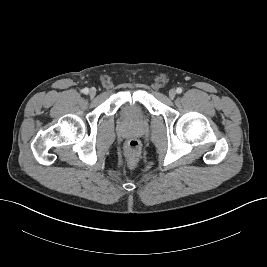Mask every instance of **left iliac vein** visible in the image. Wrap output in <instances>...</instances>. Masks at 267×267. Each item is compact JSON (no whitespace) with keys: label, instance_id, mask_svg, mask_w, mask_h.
Instances as JSON below:
<instances>
[{"label":"left iliac vein","instance_id":"4c4485c4","mask_svg":"<svg viewBox=\"0 0 267 267\" xmlns=\"http://www.w3.org/2000/svg\"><path fill=\"white\" fill-rule=\"evenodd\" d=\"M175 96H176V90H175V89H171V90L169 91V97H170L171 99H174Z\"/></svg>","mask_w":267,"mask_h":267}]
</instances>
